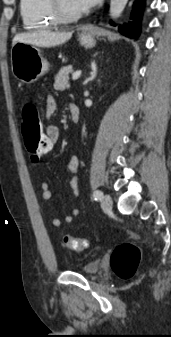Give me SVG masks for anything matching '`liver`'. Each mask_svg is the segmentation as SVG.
Listing matches in <instances>:
<instances>
[{
	"mask_svg": "<svg viewBox=\"0 0 171 337\" xmlns=\"http://www.w3.org/2000/svg\"><path fill=\"white\" fill-rule=\"evenodd\" d=\"M72 37V32L39 31L33 33H21L15 35L12 46L17 42L32 44L38 47H54L60 45Z\"/></svg>",
	"mask_w": 171,
	"mask_h": 337,
	"instance_id": "1",
	"label": "liver"
}]
</instances>
